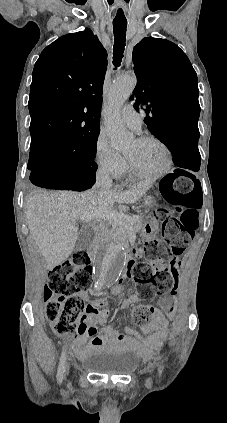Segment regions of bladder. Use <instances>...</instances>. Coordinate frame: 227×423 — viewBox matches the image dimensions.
Here are the masks:
<instances>
[{"mask_svg":"<svg viewBox=\"0 0 227 423\" xmlns=\"http://www.w3.org/2000/svg\"><path fill=\"white\" fill-rule=\"evenodd\" d=\"M137 360L136 354L131 351L116 354L111 352L96 353L86 359V366L94 373H111L123 376L135 370Z\"/></svg>","mask_w":227,"mask_h":423,"instance_id":"bladder-1","label":"bladder"}]
</instances>
